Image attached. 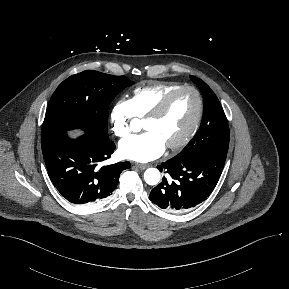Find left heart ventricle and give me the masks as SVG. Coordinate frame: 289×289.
I'll use <instances>...</instances> for the list:
<instances>
[{
  "mask_svg": "<svg viewBox=\"0 0 289 289\" xmlns=\"http://www.w3.org/2000/svg\"><path fill=\"white\" fill-rule=\"evenodd\" d=\"M196 95L189 90L178 93L166 112L156 120L143 123L146 131L154 132L165 144L179 141L191 127L197 112Z\"/></svg>",
  "mask_w": 289,
  "mask_h": 289,
  "instance_id": "obj_1",
  "label": "left heart ventricle"
}]
</instances>
